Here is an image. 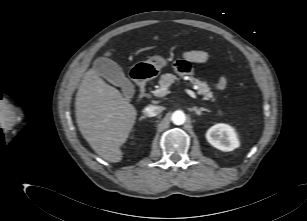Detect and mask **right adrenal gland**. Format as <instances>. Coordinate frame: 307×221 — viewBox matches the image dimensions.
I'll return each instance as SVG.
<instances>
[{
	"instance_id": "right-adrenal-gland-1",
	"label": "right adrenal gland",
	"mask_w": 307,
	"mask_h": 221,
	"mask_svg": "<svg viewBox=\"0 0 307 221\" xmlns=\"http://www.w3.org/2000/svg\"><path fill=\"white\" fill-rule=\"evenodd\" d=\"M145 118H146V117L143 116V117L140 118V120L145 119Z\"/></svg>"
}]
</instances>
